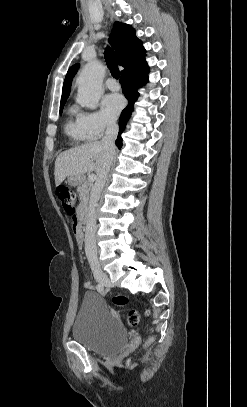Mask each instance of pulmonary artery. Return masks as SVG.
Listing matches in <instances>:
<instances>
[{"instance_id": "obj_1", "label": "pulmonary artery", "mask_w": 247, "mask_h": 407, "mask_svg": "<svg viewBox=\"0 0 247 407\" xmlns=\"http://www.w3.org/2000/svg\"><path fill=\"white\" fill-rule=\"evenodd\" d=\"M105 86L109 90H113V91H116V90L120 89L119 83L116 80L112 79V78H109V79L106 80Z\"/></svg>"}]
</instances>
